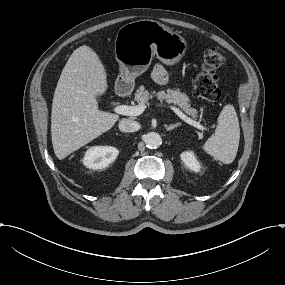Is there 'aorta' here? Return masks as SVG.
Instances as JSON below:
<instances>
[{
	"label": "aorta",
	"mask_w": 285,
	"mask_h": 285,
	"mask_svg": "<svg viewBox=\"0 0 285 285\" xmlns=\"http://www.w3.org/2000/svg\"><path fill=\"white\" fill-rule=\"evenodd\" d=\"M144 142L148 148L156 149L161 145L162 138L158 133L150 132L144 136Z\"/></svg>",
	"instance_id": "aorta-1"
}]
</instances>
